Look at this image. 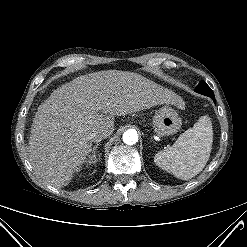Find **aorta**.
Returning a JSON list of instances; mask_svg holds the SVG:
<instances>
[{"label":"aorta","instance_id":"obj_1","mask_svg":"<svg viewBox=\"0 0 247 247\" xmlns=\"http://www.w3.org/2000/svg\"><path fill=\"white\" fill-rule=\"evenodd\" d=\"M123 142L127 145H134L138 142V134L135 130L130 129L124 132Z\"/></svg>","mask_w":247,"mask_h":247}]
</instances>
